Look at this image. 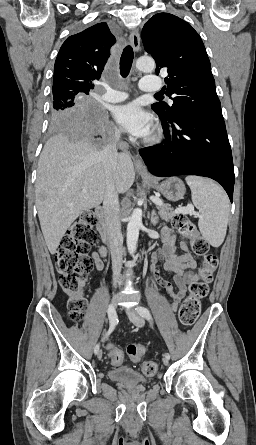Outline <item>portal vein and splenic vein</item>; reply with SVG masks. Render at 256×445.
Segmentation results:
<instances>
[{
  "label": "portal vein and splenic vein",
  "mask_w": 256,
  "mask_h": 445,
  "mask_svg": "<svg viewBox=\"0 0 256 445\" xmlns=\"http://www.w3.org/2000/svg\"><path fill=\"white\" fill-rule=\"evenodd\" d=\"M82 192H83V193H86L87 191H86V190H83ZM151 200H152L156 205H159V206H162V205H163L162 201H161L159 198H157V197H151ZM175 212L178 213V214L182 213V214L197 215V213L194 211V207H193V206H190V205H188L187 207H184V208L176 209Z\"/></svg>",
  "instance_id": "portal-vein-and-splenic-vein-1"
}]
</instances>
